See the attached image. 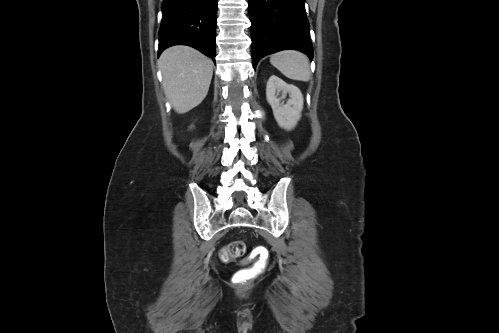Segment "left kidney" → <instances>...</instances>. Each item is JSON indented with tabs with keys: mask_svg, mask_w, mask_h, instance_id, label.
<instances>
[{
	"mask_svg": "<svg viewBox=\"0 0 499 333\" xmlns=\"http://www.w3.org/2000/svg\"><path fill=\"white\" fill-rule=\"evenodd\" d=\"M279 93H281L280 97ZM287 94H289V99L285 103L284 99ZM266 97L278 125L286 130L293 129L303 109V95L299 88L272 75L267 82Z\"/></svg>",
	"mask_w": 499,
	"mask_h": 333,
	"instance_id": "obj_1",
	"label": "left kidney"
}]
</instances>
